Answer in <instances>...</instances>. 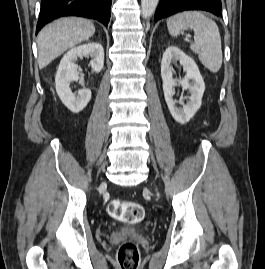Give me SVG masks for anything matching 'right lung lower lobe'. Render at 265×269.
Returning a JSON list of instances; mask_svg holds the SVG:
<instances>
[{"mask_svg": "<svg viewBox=\"0 0 265 269\" xmlns=\"http://www.w3.org/2000/svg\"><path fill=\"white\" fill-rule=\"evenodd\" d=\"M112 0H42L36 34L50 21L62 16L97 19L107 26Z\"/></svg>", "mask_w": 265, "mask_h": 269, "instance_id": "98d812e1", "label": "right lung lower lobe"}]
</instances>
